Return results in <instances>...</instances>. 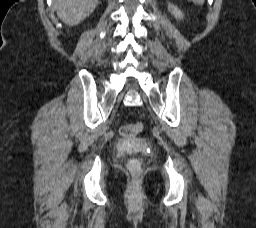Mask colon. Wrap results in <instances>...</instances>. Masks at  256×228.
Here are the masks:
<instances>
[{
    "label": "colon",
    "mask_w": 256,
    "mask_h": 228,
    "mask_svg": "<svg viewBox=\"0 0 256 228\" xmlns=\"http://www.w3.org/2000/svg\"><path fill=\"white\" fill-rule=\"evenodd\" d=\"M142 130L143 124L137 122L121 126L119 128V134L123 137H134L138 135ZM127 168L132 176L137 177L141 172V163L138 159L133 158L128 162Z\"/></svg>",
    "instance_id": "colon-1"
}]
</instances>
